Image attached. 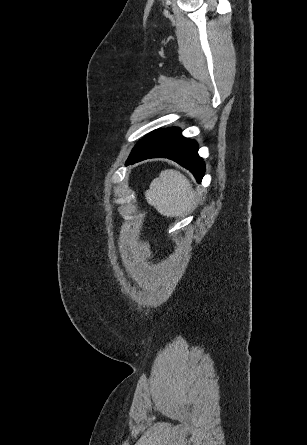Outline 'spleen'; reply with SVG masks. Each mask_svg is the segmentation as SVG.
Returning <instances> with one entry per match:
<instances>
[{"mask_svg":"<svg viewBox=\"0 0 307 445\" xmlns=\"http://www.w3.org/2000/svg\"><path fill=\"white\" fill-rule=\"evenodd\" d=\"M191 186L185 174L166 168L152 180L150 188L145 190V198L163 216H185L196 204V194Z\"/></svg>","mask_w":307,"mask_h":445,"instance_id":"1","label":"spleen"}]
</instances>
